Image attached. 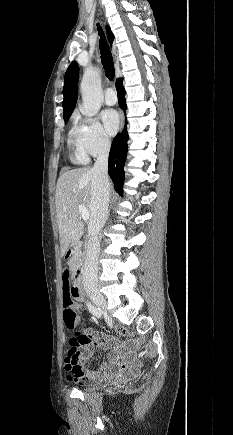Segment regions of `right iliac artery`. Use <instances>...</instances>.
Listing matches in <instances>:
<instances>
[{"mask_svg": "<svg viewBox=\"0 0 233 435\" xmlns=\"http://www.w3.org/2000/svg\"><path fill=\"white\" fill-rule=\"evenodd\" d=\"M89 311L96 317L100 318L102 315V312L100 310V308L96 307L94 304H92L91 302H87L86 303Z\"/></svg>", "mask_w": 233, "mask_h": 435, "instance_id": "82829eb1", "label": "right iliac artery"}]
</instances>
